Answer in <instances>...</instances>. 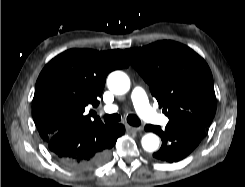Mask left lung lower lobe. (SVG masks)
<instances>
[{
  "instance_id": "1",
  "label": "left lung lower lobe",
  "mask_w": 245,
  "mask_h": 187,
  "mask_svg": "<svg viewBox=\"0 0 245 187\" xmlns=\"http://www.w3.org/2000/svg\"><path fill=\"white\" fill-rule=\"evenodd\" d=\"M146 131H152L161 137L162 145L153 157L169 163L178 162L187 157L200 143L205 128L196 126H160L146 125Z\"/></svg>"
}]
</instances>
